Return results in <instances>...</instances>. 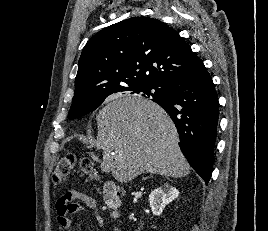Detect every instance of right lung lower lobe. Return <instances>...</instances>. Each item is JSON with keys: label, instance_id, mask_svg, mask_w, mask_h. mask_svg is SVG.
<instances>
[{"label": "right lung lower lobe", "instance_id": "98d812e1", "mask_svg": "<svg viewBox=\"0 0 268 231\" xmlns=\"http://www.w3.org/2000/svg\"><path fill=\"white\" fill-rule=\"evenodd\" d=\"M162 88L163 96L153 101L172 118L182 153L207 184L212 174L219 112L212 78L203 66Z\"/></svg>", "mask_w": 268, "mask_h": 231}]
</instances>
